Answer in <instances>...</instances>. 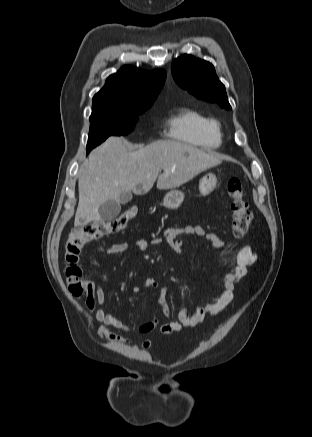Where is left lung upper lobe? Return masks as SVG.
Wrapping results in <instances>:
<instances>
[{
	"mask_svg": "<svg viewBox=\"0 0 312 437\" xmlns=\"http://www.w3.org/2000/svg\"><path fill=\"white\" fill-rule=\"evenodd\" d=\"M171 71L176 83L196 98L231 109L225 86L211 63L185 54L174 60Z\"/></svg>",
	"mask_w": 312,
	"mask_h": 437,
	"instance_id": "obj_1",
	"label": "left lung upper lobe"
}]
</instances>
